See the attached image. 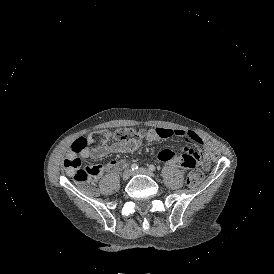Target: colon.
<instances>
[{"mask_svg":"<svg viewBox=\"0 0 274 274\" xmlns=\"http://www.w3.org/2000/svg\"><path fill=\"white\" fill-rule=\"evenodd\" d=\"M142 130L135 129H117L115 131H102L97 132L95 137L99 138V141L106 140L110 135H114L115 139L119 142H134L143 136ZM76 146H71V153L64 159V169L72 175L73 179L78 183H85L92 179L96 175L104 171V166L101 164L95 165H82L79 154L83 150V147H87V138H76ZM205 179V172L196 168L189 172L187 180L188 185L191 188L200 186Z\"/></svg>","mask_w":274,"mask_h":274,"instance_id":"1","label":"colon"}]
</instances>
